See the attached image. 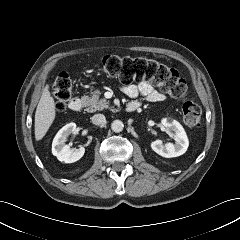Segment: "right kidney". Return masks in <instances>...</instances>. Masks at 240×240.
<instances>
[{
  "label": "right kidney",
  "mask_w": 240,
  "mask_h": 240,
  "mask_svg": "<svg viewBox=\"0 0 240 240\" xmlns=\"http://www.w3.org/2000/svg\"><path fill=\"white\" fill-rule=\"evenodd\" d=\"M76 130L75 123H69L62 127L53 139L52 153L59 161L65 163H73L82 158L85 153V148L80 147L79 149H71L65 142L71 133Z\"/></svg>",
  "instance_id": "1"
}]
</instances>
